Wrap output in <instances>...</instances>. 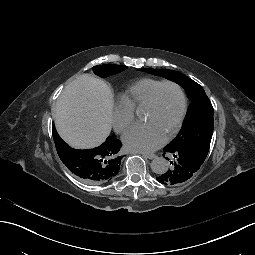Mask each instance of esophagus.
Returning a JSON list of instances; mask_svg holds the SVG:
<instances>
[{"label":"esophagus","instance_id":"esophagus-1","mask_svg":"<svg viewBox=\"0 0 255 255\" xmlns=\"http://www.w3.org/2000/svg\"><path fill=\"white\" fill-rule=\"evenodd\" d=\"M134 154H142L144 157L148 158V159H153L156 157V154H150V153H142L139 151H134Z\"/></svg>","mask_w":255,"mask_h":255}]
</instances>
